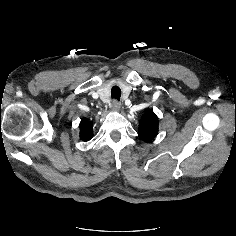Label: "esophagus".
I'll return each instance as SVG.
<instances>
[{"label":"esophagus","instance_id":"esophagus-1","mask_svg":"<svg viewBox=\"0 0 236 236\" xmlns=\"http://www.w3.org/2000/svg\"><path fill=\"white\" fill-rule=\"evenodd\" d=\"M111 109H112V111H119L120 110V103L117 100L112 101Z\"/></svg>","mask_w":236,"mask_h":236}]
</instances>
